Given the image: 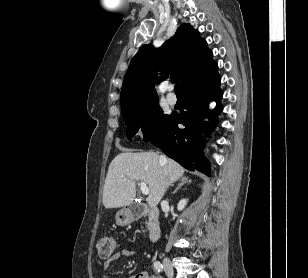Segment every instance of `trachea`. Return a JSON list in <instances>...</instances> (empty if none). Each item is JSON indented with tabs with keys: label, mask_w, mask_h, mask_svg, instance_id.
I'll return each mask as SVG.
<instances>
[{
	"label": "trachea",
	"mask_w": 308,
	"mask_h": 278,
	"mask_svg": "<svg viewBox=\"0 0 308 278\" xmlns=\"http://www.w3.org/2000/svg\"><path fill=\"white\" fill-rule=\"evenodd\" d=\"M174 91L177 95H182V87L180 83H176Z\"/></svg>",
	"instance_id": "trachea-1"
}]
</instances>
